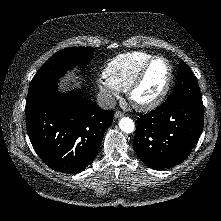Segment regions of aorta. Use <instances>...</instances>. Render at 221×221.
Segmentation results:
<instances>
[{
  "label": "aorta",
  "mask_w": 221,
  "mask_h": 221,
  "mask_svg": "<svg viewBox=\"0 0 221 221\" xmlns=\"http://www.w3.org/2000/svg\"><path fill=\"white\" fill-rule=\"evenodd\" d=\"M119 127L124 133H132L135 129L134 122L129 117L121 118L119 121Z\"/></svg>",
  "instance_id": "obj_1"
}]
</instances>
